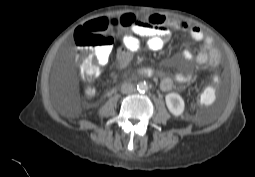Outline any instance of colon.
<instances>
[{"label": "colon", "instance_id": "5ec220e1", "mask_svg": "<svg viewBox=\"0 0 255 177\" xmlns=\"http://www.w3.org/2000/svg\"><path fill=\"white\" fill-rule=\"evenodd\" d=\"M137 21L135 16L125 14L110 20H94L83 25L85 30H80L81 27L76 30V60L87 80H93L101 72L102 66L97 60L96 52L102 48L111 47L113 38L110 29L119 25L130 27Z\"/></svg>", "mask_w": 255, "mask_h": 177}]
</instances>
